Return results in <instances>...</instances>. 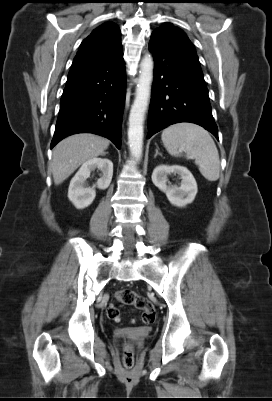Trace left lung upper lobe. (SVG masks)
<instances>
[{"label":"left lung upper lobe","mask_w":272,"mask_h":401,"mask_svg":"<svg viewBox=\"0 0 272 401\" xmlns=\"http://www.w3.org/2000/svg\"><path fill=\"white\" fill-rule=\"evenodd\" d=\"M154 31L161 33L176 47L196 55L195 48L186 34L179 28L173 26L171 23H166Z\"/></svg>","instance_id":"1"}]
</instances>
